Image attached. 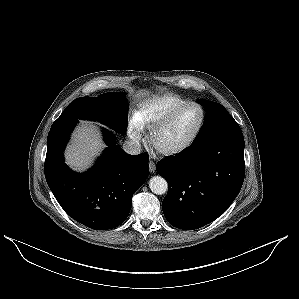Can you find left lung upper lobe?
Listing matches in <instances>:
<instances>
[{
  "label": "left lung upper lobe",
  "mask_w": 299,
  "mask_h": 299,
  "mask_svg": "<svg viewBox=\"0 0 299 299\" xmlns=\"http://www.w3.org/2000/svg\"><path fill=\"white\" fill-rule=\"evenodd\" d=\"M197 102L204 107L206 113L204 124L201 127L195 140L201 138L205 133L216 127L222 121L232 117L228 113V111L219 103L204 99L197 100Z\"/></svg>",
  "instance_id": "left-lung-upper-lobe-1"
}]
</instances>
